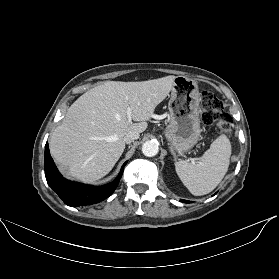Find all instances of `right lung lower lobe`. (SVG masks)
Returning <instances> with one entry per match:
<instances>
[{
  "label": "right lung lower lobe",
  "instance_id": "right-lung-lower-lobe-1",
  "mask_svg": "<svg viewBox=\"0 0 279 279\" xmlns=\"http://www.w3.org/2000/svg\"><path fill=\"white\" fill-rule=\"evenodd\" d=\"M126 163L113 182L103 186L85 185L65 179L50 156L48 143L45 145L44 169L47 183L65 204L72 207L95 204L108 198L116 189Z\"/></svg>",
  "mask_w": 279,
  "mask_h": 279
}]
</instances>
